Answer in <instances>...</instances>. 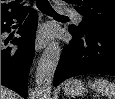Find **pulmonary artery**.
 Listing matches in <instances>:
<instances>
[{
  "label": "pulmonary artery",
  "mask_w": 115,
  "mask_h": 99,
  "mask_svg": "<svg viewBox=\"0 0 115 99\" xmlns=\"http://www.w3.org/2000/svg\"><path fill=\"white\" fill-rule=\"evenodd\" d=\"M58 9H59V12H61V13L69 14V15L73 16L76 20H81V15L67 6L61 5V6H59Z\"/></svg>",
  "instance_id": "pulmonary-artery-1"
}]
</instances>
